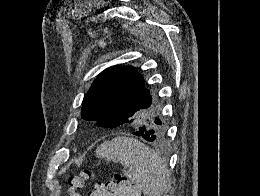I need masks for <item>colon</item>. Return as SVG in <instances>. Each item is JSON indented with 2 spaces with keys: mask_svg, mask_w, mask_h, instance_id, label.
I'll use <instances>...</instances> for the list:
<instances>
[{
  "mask_svg": "<svg viewBox=\"0 0 260 196\" xmlns=\"http://www.w3.org/2000/svg\"><path fill=\"white\" fill-rule=\"evenodd\" d=\"M92 177L93 173L91 171H83L78 175H71L68 180L70 196H79V191L83 187L84 182ZM111 182L117 188L126 186V179L122 175H116Z\"/></svg>",
  "mask_w": 260,
  "mask_h": 196,
  "instance_id": "5ec220e1",
  "label": "colon"
}]
</instances>
